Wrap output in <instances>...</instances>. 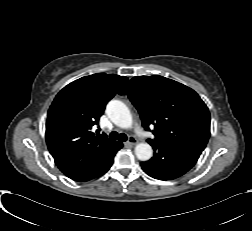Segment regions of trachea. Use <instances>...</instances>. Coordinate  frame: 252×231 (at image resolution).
I'll use <instances>...</instances> for the list:
<instances>
[{
	"label": "trachea",
	"instance_id": "3493384b",
	"mask_svg": "<svg viewBox=\"0 0 252 231\" xmlns=\"http://www.w3.org/2000/svg\"><path fill=\"white\" fill-rule=\"evenodd\" d=\"M110 138L112 139V140H119V141H121V142H125L128 138H127V136H126V134H124V133H118V132H116V131H112L111 133H110Z\"/></svg>",
	"mask_w": 252,
	"mask_h": 231
}]
</instances>
